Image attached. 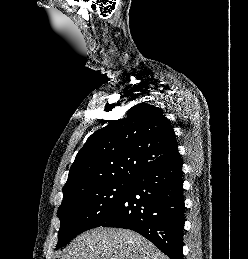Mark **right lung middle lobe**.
Segmentation results:
<instances>
[{
    "label": "right lung middle lobe",
    "mask_w": 248,
    "mask_h": 259,
    "mask_svg": "<svg viewBox=\"0 0 248 259\" xmlns=\"http://www.w3.org/2000/svg\"><path fill=\"white\" fill-rule=\"evenodd\" d=\"M130 185L131 181L114 180L87 184L64 193L58 209L61 226L56 249L103 222L124 197Z\"/></svg>",
    "instance_id": "right-lung-middle-lobe-1"
}]
</instances>
